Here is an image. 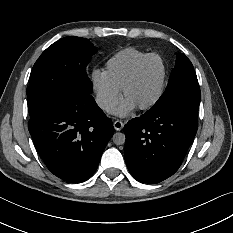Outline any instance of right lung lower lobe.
<instances>
[{
    "label": "right lung lower lobe",
    "instance_id": "1",
    "mask_svg": "<svg viewBox=\"0 0 233 233\" xmlns=\"http://www.w3.org/2000/svg\"><path fill=\"white\" fill-rule=\"evenodd\" d=\"M111 122L90 93L77 91L30 117L28 128L47 168L64 181L81 183L98 167L113 135Z\"/></svg>",
    "mask_w": 233,
    "mask_h": 233
}]
</instances>
